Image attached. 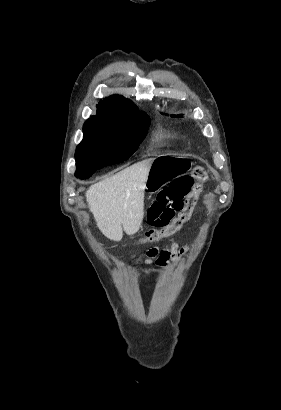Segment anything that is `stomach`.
<instances>
[{"mask_svg":"<svg viewBox=\"0 0 281 410\" xmlns=\"http://www.w3.org/2000/svg\"><path fill=\"white\" fill-rule=\"evenodd\" d=\"M188 158L180 155H160L154 158L147 177L146 188L156 192L172 178L190 169Z\"/></svg>","mask_w":281,"mask_h":410,"instance_id":"obj_1","label":"stomach"}]
</instances>
